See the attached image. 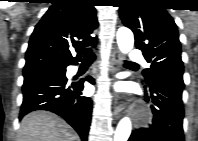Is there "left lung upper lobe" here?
Returning <instances> with one entry per match:
<instances>
[{
	"mask_svg": "<svg viewBox=\"0 0 198 141\" xmlns=\"http://www.w3.org/2000/svg\"><path fill=\"white\" fill-rule=\"evenodd\" d=\"M123 24L135 35V45L148 63L143 71L149 85L159 76L183 80L184 67L177 26L160 0H125L120 7Z\"/></svg>",
	"mask_w": 198,
	"mask_h": 141,
	"instance_id": "left-lung-upper-lobe-1",
	"label": "left lung upper lobe"
}]
</instances>
